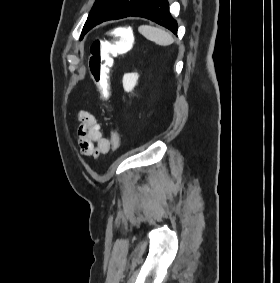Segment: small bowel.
Here are the masks:
<instances>
[{
	"instance_id": "c3829d8e",
	"label": "small bowel",
	"mask_w": 280,
	"mask_h": 283,
	"mask_svg": "<svg viewBox=\"0 0 280 283\" xmlns=\"http://www.w3.org/2000/svg\"><path fill=\"white\" fill-rule=\"evenodd\" d=\"M76 120L79 124L77 129L78 143L84 156L98 157L117 149L114 146V140L119 137V134L114 131L110 138L104 136L100 123L92 113L80 111Z\"/></svg>"
}]
</instances>
